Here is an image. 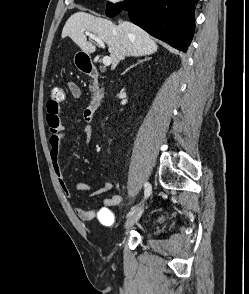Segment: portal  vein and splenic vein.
<instances>
[{
	"label": "portal vein and splenic vein",
	"instance_id": "obj_1",
	"mask_svg": "<svg viewBox=\"0 0 249 294\" xmlns=\"http://www.w3.org/2000/svg\"><path fill=\"white\" fill-rule=\"evenodd\" d=\"M86 35H88L91 39L95 40L99 44L100 47L105 48L104 42L98 36L91 34L89 32H86ZM103 64L105 66H109L111 64V57L105 56L103 58Z\"/></svg>",
	"mask_w": 249,
	"mask_h": 294
}]
</instances>
